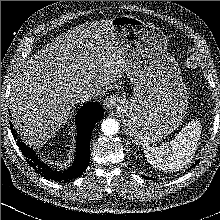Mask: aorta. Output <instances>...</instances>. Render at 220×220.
I'll return each instance as SVG.
<instances>
[{
    "mask_svg": "<svg viewBox=\"0 0 220 220\" xmlns=\"http://www.w3.org/2000/svg\"><path fill=\"white\" fill-rule=\"evenodd\" d=\"M101 128L105 135H114L119 131V123L115 119L108 118L102 122Z\"/></svg>",
    "mask_w": 220,
    "mask_h": 220,
    "instance_id": "aorta-1",
    "label": "aorta"
}]
</instances>
